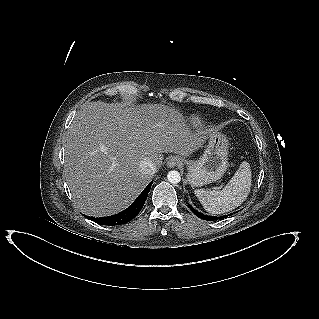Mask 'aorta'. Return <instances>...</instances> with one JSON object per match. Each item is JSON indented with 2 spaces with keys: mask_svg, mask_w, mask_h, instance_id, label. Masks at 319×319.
<instances>
[{
  "mask_svg": "<svg viewBox=\"0 0 319 319\" xmlns=\"http://www.w3.org/2000/svg\"><path fill=\"white\" fill-rule=\"evenodd\" d=\"M167 179L172 184H177L181 181L180 173L176 170H171L167 174Z\"/></svg>",
  "mask_w": 319,
  "mask_h": 319,
  "instance_id": "1",
  "label": "aorta"
}]
</instances>
